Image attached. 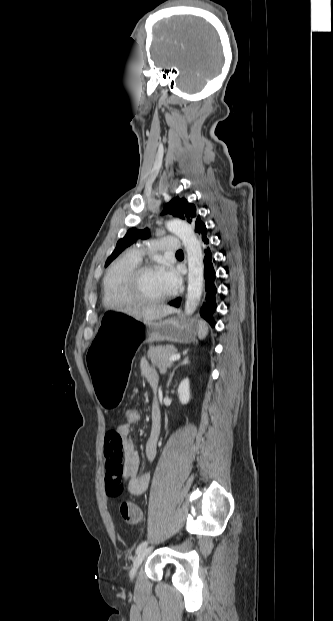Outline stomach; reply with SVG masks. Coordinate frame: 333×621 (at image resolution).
<instances>
[{
	"mask_svg": "<svg viewBox=\"0 0 333 621\" xmlns=\"http://www.w3.org/2000/svg\"><path fill=\"white\" fill-rule=\"evenodd\" d=\"M198 332V323L181 325L168 318L157 322L136 320L132 314L106 312L100 320L97 335L87 347V361L97 396L105 411L115 412L128 385V368L134 354L144 342H191Z\"/></svg>",
	"mask_w": 333,
	"mask_h": 621,
	"instance_id": "0dacf381",
	"label": "stomach"
}]
</instances>
